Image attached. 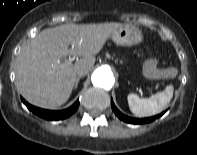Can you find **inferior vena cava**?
<instances>
[{
  "instance_id": "602c4592",
  "label": "inferior vena cava",
  "mask_w": 197,
  "mask_h": 155,
  "mask_svg": "<svg viewBox=\"0 0 197 155\" xmlns=\"http://www.w3.org/2000/svg\"><path fill=\"white\" fill-rule=\"evenodd\" d=\"M87 73H88L87 70H85V69H80V70H78V72H77V76H78V77H82V76L86 75Z\"/></svg>"
}]
</instances>
